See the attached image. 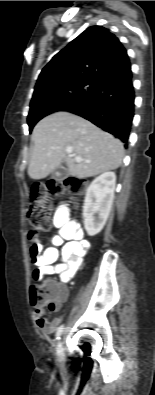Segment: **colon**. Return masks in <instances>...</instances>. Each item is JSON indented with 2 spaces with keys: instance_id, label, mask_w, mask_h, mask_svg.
Returning a JSON list of instances; mask_svg holds the SVG:
<instances>
[{
  "instance_id": "obj_1",
  "label": "colon",
  "mask_w": 155,
  "mask_h": 395,
  "mask_svg": "<svg viewBox=\"0 0 155 395\" xmlns=\"http://www.w3.org/2000/svg\"><path fill=\"white\" fill-rule=\"evenodd\" d=\"M87 185L86 180L77 177H67L61 180H51L47 184H38L32 188V202L27 211L30 226L28 234L29 247L31 240L39 237V233L49 231L51 227V196L68 195L70 204H75V196L82 192ZM33 280V274H32ZM62 296V288L51 280L34 281L30 287V301L35 309L47 304L50 310L55 308V301Z\"/></svg>"
}]
</instances>
